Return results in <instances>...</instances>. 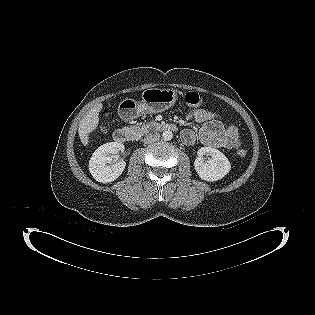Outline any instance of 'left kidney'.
Listing matches in <instances>:
<instances>
[{"label": "left kidney", "instance_id": "5707ae66", "mask_svg": "<svg viewBox=\"0 0 315 315\" xmlns=\"http://www.w3.org/2000/svg\"><path fill=\"white\" fill-rule=\"evenodd\" d=\"M198 157L194 162L195 170L199 177L205 181L213 182L222 179L231 169L227 157L219 150L212 147H202L197 152ZM211 158L205 160L204 156Z\"/></svg>", "mask_w": 315, "mask_h": 315}]
</instances>
